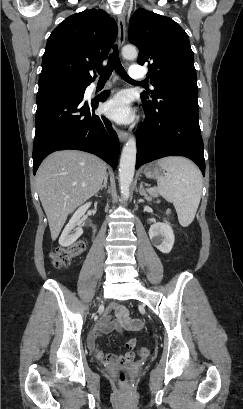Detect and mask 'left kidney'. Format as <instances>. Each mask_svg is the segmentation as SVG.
Segmentation results:
<instances>
[{"mask_svg":"<svg viewBox=\"0 0 243 409\" xmlns=\"http://www.w3.org/2000/svg\"><path fill=\"white\" fill-rule=\"evenodd\" d=\"M149 237L153 245L162 253L168 254L171 252L175 236L170 224L167 221L158 222L151 225L149 229Z\"/></svg>","mask_w":243,"mask_h":409,"instance_id":"obj_1","label":"left kidney"}]
</instances>
